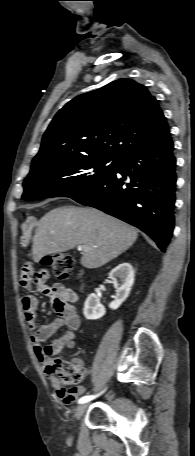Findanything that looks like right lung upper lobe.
<instances>
[{"label": "right lung upper lobe", "mask_w": 195, "mask_h": 456, "mask_svg": "<svg viewBox=\"0 0 195 456\" xmlns=\"http://www.w3.org/2000/svg\"><path fill=\"white\" fill-rule=\"evenodd\" d=\"M170 140L158 101L145 86L124 78L68 102L46 130L32 166L65 157L118 160Z\"/></svg>", "instance_id": "right-lung-upper-lobe-1"}]
</instances>
